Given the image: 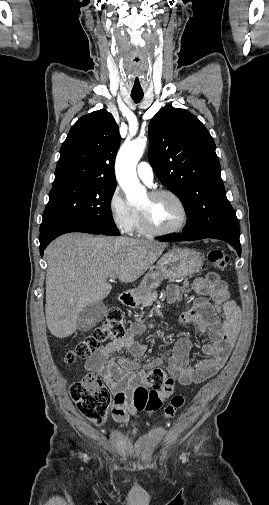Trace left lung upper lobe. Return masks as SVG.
<instances>
[{"label": "left lung upper lobe", "instance_id": "left-lung-upper-lobe-1", "mask_svg": "<svg viewBox=\"0 0 269 505\" xmlns=\"http://www.w3.org/2000/svg\"><path fill=\"white\" fill-rule=\"evenodd\" d=\"M148 159L156 176L185 206L184 235L240 234L221 179L214 140L196 116L171 105L161 108L149 124Z\"/></svg>", "mask_w": 269, "mask_h": 505}]
</instances>
